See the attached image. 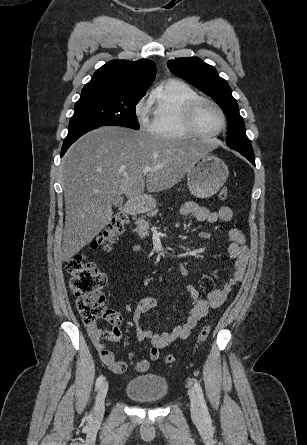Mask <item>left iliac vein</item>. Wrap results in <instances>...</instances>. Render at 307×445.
I'll return each mask as SVG.
<instances>
[{"instance_id":"left-iliac-vein-1","label":"left iliac vein","mask_w":307,"mask_h":445,"mask_svg":"<svg viewBox=\"0 0 307 445\" xmlns=\"http://www.w3.org/2000/svg\"><path fill=\"white\" fill-rule=\"evenodd\" d=\"M189 397H190V410L192 417L201 421L203 419V413L200 405V401L193 389H189Z\"/></svg>"}]
</instances>
